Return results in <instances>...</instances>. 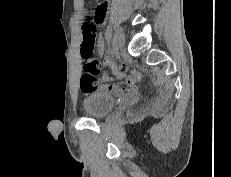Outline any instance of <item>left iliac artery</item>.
<instances>
[{
    "label": "left iliac artery",
    "mask_w": 231,
    "mask_h": 177,
    "mask_svg": "<svg viewBox=\"0 0 231 177\" xmlns=\"http://www.w3.org/2000/svg\"><path fill=\"white\" fill-rule=\"evenodd\" d=\"M105 36H106V40L108 41L107 42L108 46L106 47V50L110 51L111 50L110 46L112 45V42L110 41V39L112 37V27L110 25L107 26Z\"/></svg>",
    "instance_id": "obj_1"
}]
</instances>
